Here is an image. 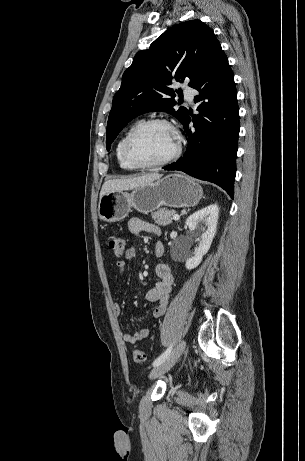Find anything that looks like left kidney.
Returning a JSON list of instances; mask_svg holds the SVG:
<instances>
[{
	"label": "left kidney",
	"mask_w": 305,
	"mask_h": 461,
	"mask_svg": "<svg viewBox=\"0 0 305 461\" xmlns=\"http://www.w3.org/2000/svg\"><path fill=\"white\" fill-rule=\"evenodd\" d=\"M219 208L217 204H210L190 215L186 220V226L190 231L200 236L198 246L187 258L185 267L189 270L196 268L202 261L203 256L210 249L213 238L216 234Z\"/></svg>",
	"instance_id": "1"
}]
</instances>
